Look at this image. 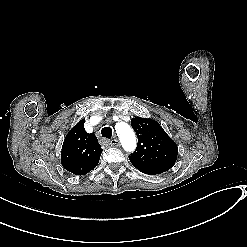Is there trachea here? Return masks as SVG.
<instances>
[{
  "label": "trachea",
  "mask_w": 247,
  "mask_h": 247,
  "mask_svg": "<svg viewBox=\"0 0 247 247\" xmlns=\"http://www.w3.org/2000/svg\"><path fill=\"white\" fill-rule=\"evenodd\" d=\"M101 134L103 138L110 139L112 137V129L110 127H104L101 130Z\"/></svg>",
  "instance_id": "trachea-1"
}]
</instances>
